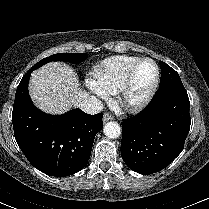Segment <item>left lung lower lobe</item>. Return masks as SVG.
I'll list each match as a JSON object with an SVG mask.
<instances>
[{"instance_id": "1", "label": "left lung lower lobe", "mask_w": 209, "mask_h": 209, "mask_svg": "<svg viewBox=\"0 0 209 209\" xmlns=\"http://www.w3.org/2000/svg\"><path fill=\"white\" fill-rule=\"evenodd\" d=\"M182 83L159 87L149 105L122 122L121 155L133 171L158 172L183 150L191 117Z\"/></svg>"}]
</instances>
